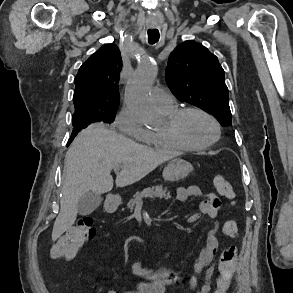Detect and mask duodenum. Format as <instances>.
Here are the masks:
<instances>
[{"mask_svg": "<svg viewBox=\"0 0 293 293\" xmlns=\"http://www.w3.org/2000/svg\"><path fill=\"white\" fill-rule=\"evenodd\" d=\"M119 199L117 197H113L111 200L107 202L106 208L107 211L112 212L117 206Z\"/></svg>", "mask_w": 293, "mask_h": 293, "instance_id": "410a0bca", "label": "duodenum"}]
</instances>
